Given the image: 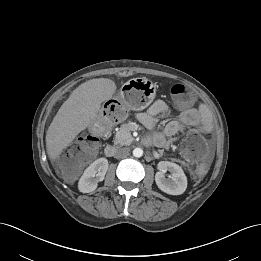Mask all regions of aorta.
Masks as SVG:
<instances>
[{"label": "aorta", "instance_id": "obj_1", "mask_svg": "<svg viewBox=\"0 0 261 261\" xmlns=\"http://www.w3.org/2000/svg\"><path fill=\"white\" fill-rule=\"evenodd\" d=\"M143 155V150L141 148H135L133 150V156L141 157Z\"/></svg>", "mask_w": 261, "mask_h": 261}]
</instances>
